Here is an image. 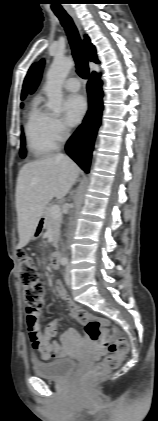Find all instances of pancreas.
<instances>
[{
  "instance_id": "pancreas-1",
  "label": "pancreas",
  "mask_w": 158,
  "mask_h": 421,
  "mask_svg": "<svg viewBox=\"0 0 158 421\" xmlns=\"http://www.w3.org/2000/svg\"><path fill=\"white\" fill-rule=\"evenodd\" d=\"M51 208H52V205H49L44 211V218H45L44 228L52 230L53 246L56 247L59 240V236H60V226L62 222V216H59L57 218L52 217Z\"/></svg>"
}]
</instances>
